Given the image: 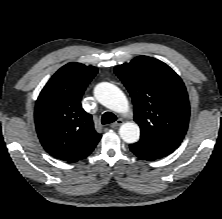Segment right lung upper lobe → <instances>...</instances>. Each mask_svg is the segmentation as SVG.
Listing matches in <instances>:
<instances>
[{
    "label": "right lung upper lobe",
    "instance_id": "cb5924a9",
    "mask_svg": "<svg viewBox=\"0 0 222 219\" xmlns=\"http://www.w3.org/2000/svg\"><path fill=\"white\" fill-rule=\"evenodd\" d=\"M97 72L93 66L68 63L42 89L35 105V125L42 146L51 156L77 162L86 158L101 139L92 116L80 103Z\"/></svg>",
    "mask_w": 222,
    "mask_h": 219
}]
</instances>
